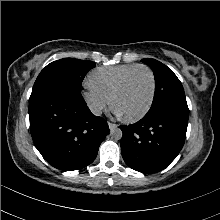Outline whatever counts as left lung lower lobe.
I'll return each instance as SVG.
<instances>
[{"label":"left lung lower lobe","mask_w":220,"mask_h":220,"mask_svg":"<svg viewBox=\"0 0 220 220\" xmlns=\"http://www.w3.org/2000/svg\"><path fill=\"white\" fill-rule=\"evenodd\" d=\"M187 125L188 117L163 110L146 114L132 125L120 126L125 163L145 174L165 169L181 151Z\"/></svg>","instance_id":"1"}]
</instances>
